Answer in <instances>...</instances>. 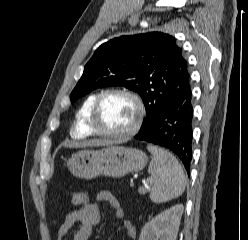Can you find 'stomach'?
Instances as JSON below:
<instances>
[{
	"label": "stomach",
	"mask_w": 248,
	"mask_h": 240,
	"mask_svg": "<svg viewBox=\"0 0 248 240\" xmlns=\"http://www.w3.org/2000/svg\"><path fill=\"white\" fill-rule=\"evenodd\" d=\"M147 161L146 154L139 149L110 145L101 150L74 153L66 161V166L74 176L84 179L101 175L119 178L141 171Z\"/></svg>",
	"instance_id": "0dacf381"
}]
</instances>
